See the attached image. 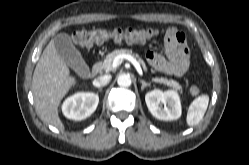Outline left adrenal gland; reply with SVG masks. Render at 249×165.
<instances>
[{"label":"left adrenal gland","instance_id":"obj_1","mask_svg":"<svg viewBox=\"0 0 249 165\" xmlns=\"http://www.w3.org/2000/svg\"><path fill=\"white\" fill-rule=\"evenodd\" d=\"M140 82H141V84H142V86H141V90H144V88L145 87H150V83H147L146 81H144V80H140Z\"/></svg>","mask_w":249,"mask_h":165}]
</instances>
